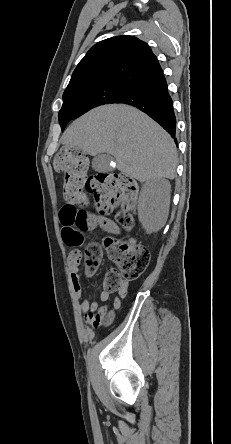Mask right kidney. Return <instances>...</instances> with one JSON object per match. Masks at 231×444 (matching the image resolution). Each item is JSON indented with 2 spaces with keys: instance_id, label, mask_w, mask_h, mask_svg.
I'll return each instance as SVG.
<instances>
[{
  "instance_id": "ca27d5eb",
  "label": "right kidney",
  "mask_w": 231,
  "mask_h": 444,
  "mask_svg": "<svg viewBox=\"0 0 231 444\" xmlns=\"http://www.w3.org/2000/svg\"><path fill=\"white\" fill-rule=\"evenodd\" d=\"M170 191V182L163 178L148 181L142 186L138 217L148 233L156 232L164 226L169 212Z\"/></svg>"
}]
</instances>
